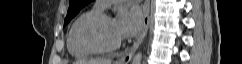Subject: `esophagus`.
<instances>
[{"label": "esophagus", "mask_w": 242, "mask_h": 64, "mask_svg": "<svg viewBox=\"0 0 242 64\" xmlns=\"http://www.w3.org/2000/svg\"><path fill=\"white\" fill-rule=\"evenodd\" d=\"M143 28L142 31L137 38V40L134 42V44L126 50V53L118 60V64H128L137 50V48L140 46V44L143 42L144 38L147 35L149 23H150V0H145L143 5Z\"/></svg>", "instance_id": "34e87169"}]
</instances>
